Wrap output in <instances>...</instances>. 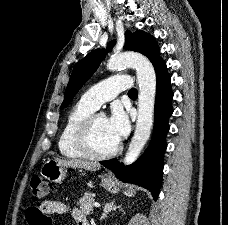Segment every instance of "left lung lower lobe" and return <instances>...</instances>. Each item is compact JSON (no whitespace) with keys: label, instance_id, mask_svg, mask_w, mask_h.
Instances as JSON below:
<instances>
[{"label":"left lung lower lobe","instance_id":"0a47b994","mask_svg":"<svg viewBox=\"0 0 228 225\" xmlns=\"http://www.w3.org/2000/svg\"><path fill=\"white\" fill-rule=\"evenodd\" d=\"M154 69L157 83L154 130L150 145L130 166H124L117 159L100 161V164L111 169L121 181L147 188L156 200L162 184L163 154L167 146L165 138L169 131L168 119L173 113V92L165 62L161 60L154 65Z\"/></svg>","mask_w":228,"mask_h":225}]
</instances>
